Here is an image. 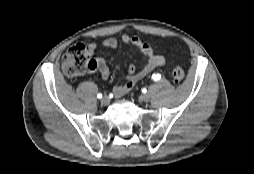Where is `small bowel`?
I'll use <instances>...</instances> for the list:
<instances>
[{"label": "small bowel", "instance_id": "obj_1", "mask_svg": "<svg viewBox=\"0 0 254 174\" xmlns=\"http://www.w3.org/2000/svg\"><path fill=\"white\" fill-rule=\"evenodd\" d=\"M121 42L131 45L133 48L141 52L145 56V63L139 72H136L134 65H129V75L126 81L123 84L117 85L113 88V94L115 97H122L126 95L148 73H150L155 68L165 64V58L161 55L156 54L153 47L140 38L136 36L123 35L121 37ZM117 45L118 41L114 38L106 39L100 44H89L87 46V53L90 57H92L91 61L93 63V68L90 71L98 72L103 79H108L110 77V70L104 58L101 56H95V52L99 47L116 48Z\"/></svg>", "mask_w": 254, "mask_h": 174}]
</instances>
